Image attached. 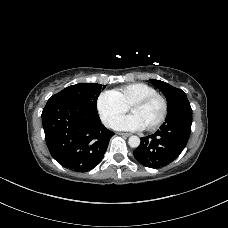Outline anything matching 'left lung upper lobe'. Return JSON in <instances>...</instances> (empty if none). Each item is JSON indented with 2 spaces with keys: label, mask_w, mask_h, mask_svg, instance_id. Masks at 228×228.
I'll list each match as a JSON object with an SVG mask.
<instances>
[{
  "label": "left lung upper lobe",
  "mask_w": 228,
  "mask_h": 228,
  "mask_svg": "<svg viewBox=\"0 0 228 228\" xmlns=\"http://www.w3.org/2000/svg\"><path fill=\"white\" fill-rule=\"evenodd\" d=\"M150 81L165 95L168 103V112L174 111V113H179L181 104L188 101L186 94L181 89L175 88L166 82L155 79Z\"/></svg>",
  "instance_id": "5c2ea615"
}]
</instances>
